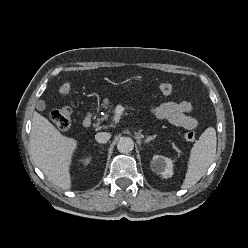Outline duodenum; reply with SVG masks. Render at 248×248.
<instances>
[{
	"mask_svg": "<svg viewBox=\"0 0 248 248\" xmlns=\"http://www.w3.org/2000/svg\"><path fill=\"white\" fill-rule=\"evenodd\" d=\"M92 123H93V114L91 112H88L83 117L81 125L83 128H88L91 126Z\"/></svg>",
	"mask_w": 248,
	"mask_h": 248,
	"instance_id": "410a0bca",
	"label": "duodenum"
}]
</instances>
